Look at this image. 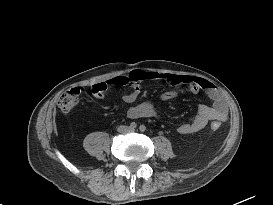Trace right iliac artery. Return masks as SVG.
Masks as SVG:
<instances>
[{
    "instance_id": "obj_1",
    "label": "right iliac artery",
    "mask_w": 273,
    "mask_h": 205,
    "mask_svg": "<svg viewBox=\"0 0 273 205\" xmlns=\"http://www.w3.org/2000/svg\"><path fill=\"white\" fill-rule=\"evenodd\" d=\"M137 127V124L135 122H132L130 124V128L135 129Z\"/></svg>"
}]
</instances>
